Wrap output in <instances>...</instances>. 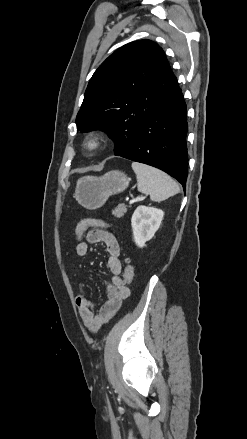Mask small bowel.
Wrapping results in <instances>:
<instances>
[{
  "label": "small bowel",
  "instance_id": "small-bowel-1",
  "mask_svg": "<svg viewBox=\"0 0 247 439\" xmlns=\"http://www.w3.org/2000/svg\"><path fill=\"white\" fill-rule=\"evenodd\" d=\"M103 243L107 251V266L111 273V280L107 283L108 299L94 312V304L84 295H78L75 303L84 325L92 332H97L119 310L122 301L128 297L129 289L123 284L122 262L120 259V245L117 238L103 229H91L86 234V240L76 246V253L80 257L89 255V245Z\"/></svg>",
  "mask_w": 247,
  "mask_h": 439
}]
</instances>
